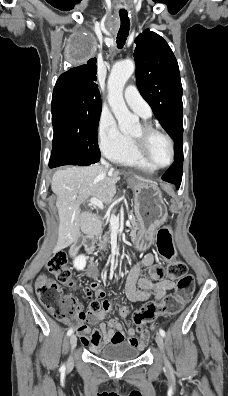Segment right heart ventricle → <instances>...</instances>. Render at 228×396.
I'll return each instance as SVG.
<instances>
[{"label": "right heart ventricle", "mask_w": 228, "mask_h": 396, "mask_svg": "<svg viewBox=\"0 0 228 396\" xmlns=\"http://www.w3.org/2000/svg\"><path fill=\"white\" fill-rule=\"evenodd\" d=\"M116 162L122 165L137 168L145 172L153 171L152 169L148 168L145 164H143V162L139 159L131 140H130L129 149L118 160H116Z\"/></svg>", "instance_id": "right-heart-ventricle-1"}]
</instances>
